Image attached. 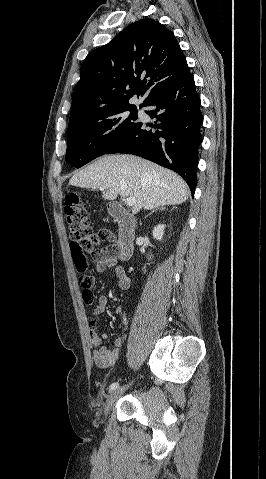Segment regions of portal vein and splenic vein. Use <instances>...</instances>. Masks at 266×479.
Segmentation results:
<instances>
[{
  "mask_svg": "<svg viewBox=\"0 0 266 479\" xmlns=\"http://www.w3.org/2000/svg\"><path fill=\"white\" fill-rule=\"evenodd\" d=\"M101 191H104V188H99ZM125 203L128 205V206H134L136 204V199L134 197H128L126 198L125 200Z\"/></svg>",
  "mask_w": 266,
  "mask_h": 479,
  "instance_id": "18ae733b",
  "label": "portal vein and splenic vein"
}]
</instances>
